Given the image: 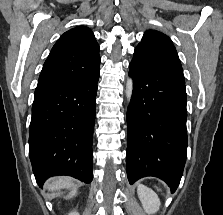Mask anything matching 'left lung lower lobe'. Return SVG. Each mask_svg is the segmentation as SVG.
Returning a JSON list of instances; mask_svg holds the SVG:
<instances>
[{
  "label": "left lung lower lobe",
  "instance_id": "1",
  "mask_svg": "<svg viewBox=\"0 0 223 215\" xmlns=\"http://www.w3.org/2000/svg\"><path fill=\"white\" fill-rule=\"evenodd\" d=\"M133 95L127 110V176L165 181L175 192L187 157L185 84L129 64Z\"/></svg>",
  "mask_w": 223,
  "mask_h": 215
}]
</instances>
